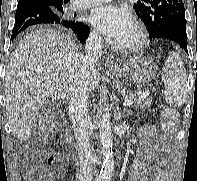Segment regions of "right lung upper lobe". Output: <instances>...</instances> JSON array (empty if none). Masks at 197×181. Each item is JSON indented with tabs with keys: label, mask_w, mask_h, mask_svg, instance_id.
Returning <instances> with one entry per match:
<instances>
[{
	"label": "right lung upper lobe",
	"mask_w": 197,
	"mask_h": 181,
	"mask_svg": "<svg viewBox=\"0 0 197 181\" xmlns=\"http://www.w3.org/2000/svg\"><path fill=\"white\" fill-rule=\"evenodd\" d=\"M32 1H37L44 3L48 6L50 5H66L70 0H32Z\"/></svg>",
	"instance_id": "cb5924a9"
}]
</instances>
